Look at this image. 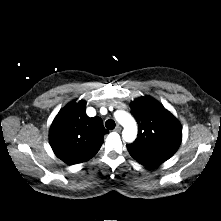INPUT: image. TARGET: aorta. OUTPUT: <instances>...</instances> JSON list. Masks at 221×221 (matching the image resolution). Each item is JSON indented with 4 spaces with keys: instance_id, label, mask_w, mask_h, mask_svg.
Wrapping results in <instances>:
<instances>
[{
    "instance_id": "762f6f07",
    "label": "aorta",
    "mask_w": 221,
    "mask_h": 221,
    "mask_svg": "<svg viewBox=\"0 0 221 221\" xmlns=\"http://www.w3.org/2000/svg\"><path fill=\"white\" fill-rule=\"evenodd\" d=\"M116 120L123 126L122 137L126 142H132L137 135V125L134 118L125 111L116 113Z\"/></svg>"
}]
</instances>
